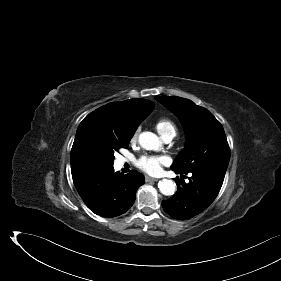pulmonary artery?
I'll use <instances>...</instances> for the list:
<instances>
[{"mask_svg": "<svg viewBox=\"0 0 281 281\" xmlns=\"http://www.w3.org/2000/svg\"><path fill=\"white\" fill-rule=\"evenodd\" d=\"M173 137H174V136H172V135H171V136H167V137L164 138V140H165L166 142H170V141L173 139Z\"/></svg>", "mask_w": 281, "mask_h": 281, "instance_id": "obj_1", "label": "pulmonary artery"}]
</instances>
